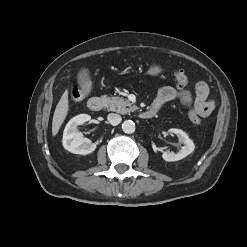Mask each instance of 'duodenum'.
<instances>
[{"label": "duodenum", "mask_w": 247, "mask_h": 247, "mask_svg": "<svg viewBox=\"0 0 247 247\" xmlns=\"http://www.w3.org/2000/svg\"><path fill=\"white\" fill-rule=\"evenodd\" d=\"M106 106V99L104 97H92L88 101V107L93 112H99ZM156 111L152 108L141 112L140 116L143 119H151L155 116Z\"/></svg>", "instance_id": "1"}]
</instances>
